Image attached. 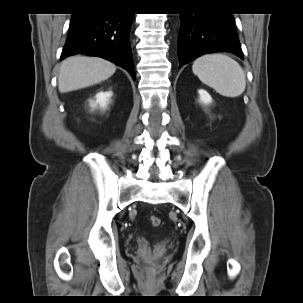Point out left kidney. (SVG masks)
<instances>
[{
  "label": "left kidney",
  "mask_w": 303,
  "mask_h": 303,
  "mask_svg": "<svg viewBox=\"0 0 303 303\" xmlns=\"http://www.w3.org/2000/svg\"><path fill=\"white\" fill-rule=\"evenodd\" d=\"M198 94H199L200 103H202L204 105H209L212 103V97L210 96V94L207 91L200 89V90H198Z\"/></svg>",
  "instance_id": "5707ae66"
}]
</instances>
